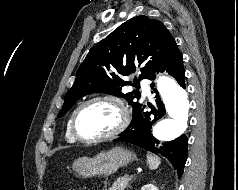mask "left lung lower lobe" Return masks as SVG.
<instances>
[{"label":"left lung lower lobe","instance_id":"1","mask_svg":"<svg viewBox=\"0 0 238 190\" xmlns=\"http://www.w3.org/2000/svg\"><path fill=\"white\" fill-rule=\"evenodd\" d=\"M168 72L173 76L182 88H185V70L183 67V56L178 50L172 57L163 63L156 72ZM155 72V73H156ZM155 73L149 80L155 79ZM153 89L154 84H151ZM156 107L148 105L151 110L146 111V105L140 103L133 110V118L130 125L124 130L116 141L127 142L137 145L154 154L166 157L177 169L179 177L182 175L187 159L188 139L185 135L167 142H161L154 138L151 133L152 125L165 114V107L157 93Z\"/></svg>","mask_w":238,"mask_h":190}]
</instances>
